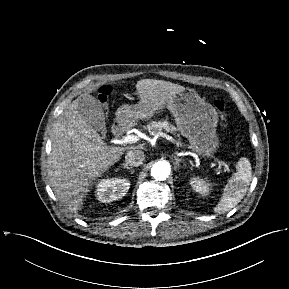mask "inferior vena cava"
Returning <instances> with one entry per match:
<instances>
[{"label": "inferior vena cava", "instance_id": "602c4592", "mask_svg": "<svg viewBox=\"0 0 289 289\" xmlns=\"http://www.w3.org/2000/svg\"><path fill=\"white\" fill-rule=\"evenodd\" d=\"M145 160V155L142 150H130L127 152V155L125 156V162L126 164H129L130 166H140L143 161Z\"/></svg>", "mask_w": 289, "mask_h": 289}]
</instances>
